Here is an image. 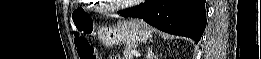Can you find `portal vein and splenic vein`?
<instances>
[{
	"mask_svg": "<svg viewBox=\"0 0 261 59\" xmlns=\"http://www.w3.org/2000/svg\"><path fill=\"white\" fill-rule=\"evenodd\" d=\"M132 54L135 55V56H137V57L140 56V53H139L138 51H136V50H133V51H132Z\"/></svg>",
	"mask_w": 261,
	"mask_h": 59,
	"instance_id": "18ae733b",
	"label": "portal vein and splenic vein"
}]
</instances>
